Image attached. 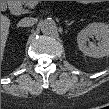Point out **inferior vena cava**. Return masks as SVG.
Returning a JSON list of instances; mask_svg holds the SVG:
<instances>
[{"mask_svg":"<svg viewBox=\"0 0 109 109\" xmlns=\"http://www.w3.org/2000/svg\"><path fill=\"white\" fill-rule=\"evenodd\" d=\"M36 19L32 17H26L23 18L21 21H19L18 26L19 27H29L33 26L36 23Z\"/></svg>","mask_w":109,"mask_h":109,"instance_id":"602c4592","label":"inferior vena cava"}]
</instances>
